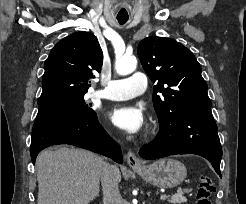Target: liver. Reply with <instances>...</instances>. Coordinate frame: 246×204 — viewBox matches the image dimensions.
<instances>
[{
	"label": "liver",
	"mask_w": 246,
	"mask_h": 204,
	"mask_svg": "<svg viewBox=\"0 0 246 204\" xmlns=\"http://www.w3.org/2000/svg\"><path fill=\"white\" fill-rule=\"evenodd\" d=\"M37 204H89L100 191L103 159L90 151L60 146L37 157ZM116 179L121 181L117 168Z\"/></svg>",
	"instance_id": "obj_1"
}]
</instances>
